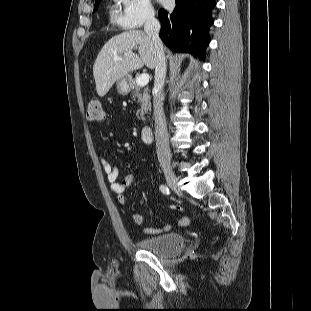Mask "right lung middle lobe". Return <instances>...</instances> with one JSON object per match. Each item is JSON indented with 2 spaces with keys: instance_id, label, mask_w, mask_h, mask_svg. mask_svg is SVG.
Segmentation results:
<instances>
[{
  "instance_id": "dd1d6c3e",
  "label": "right lung middle lobe",
  "mask_w": 311,
  "mask_h": 311,
  "mask_svg": "<svg viewBox=\"0 0 311 311\" xmlns=\"http://www.w3.org/2000/svg\"><path fill=\"white\" fill-rule=\"evenodd\" d=\"M101 0H98L95 2V5H94V11L97 9L98 5L100 4Z\"/></svg>"
}]
</instances>
